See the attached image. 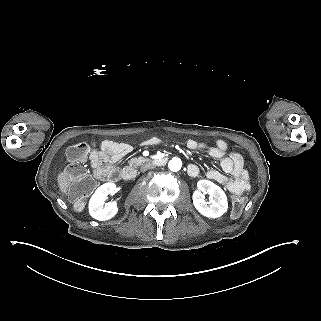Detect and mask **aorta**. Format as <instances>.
<instances>
[{"mask_svg": "<svg viewBox=\"0 0 321 321\" xmlns=\"http://www.w3.org/2000/svg\"><path fill=\"white\" fill-rule=\"evenodd\" d=\"M168 167L171 171H179L182 167V162L179 158L174 157L169 161Z\"/></svg>", "mask_w": 321, "mask_h": 321, "instance_id": "1", "label": "aorta"}]
</instances>
